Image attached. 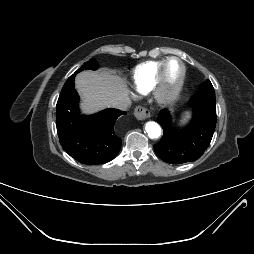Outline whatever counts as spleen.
I'll return each mask as SVG.
<instances>
[{"label":"spleen","instance_id":"3e777b00","mask_svg":"<svg viewBox=\"0 0 254 254\" xmlns=\"http://www.w3.org/2000/svg\"><path fill=\"white\" fill-rule=\"evenodd\" d=\"M188 118H189V112H186L183 119L181 120V123H185Z\"/></svg>","mask_w":254,"mask_h":254}]
</instances>
